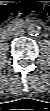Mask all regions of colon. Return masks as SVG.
Returning <instances> with one entry per match:
<instances>
[{"mask_svg":"<svg viewBox=\"0 0 50 111\" xmlns=\"http://www.w3.org/2000/svg\"><path fill=\"white\" fill-rule=\"evenodd\" d=\"M32 14L48 17L50 15V8L43 0H12V2L0 8L1 20Z\"/></svg>","mask_w":50,"mask_h":111,"instance_id":"obj_1","label":"colon"}]
</instances>
